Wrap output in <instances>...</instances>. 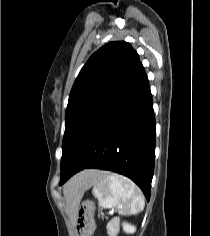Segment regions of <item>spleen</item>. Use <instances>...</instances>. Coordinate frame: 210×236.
I'll return each mask as SVG.
<instances>
[{"label":"spleen","instance_id":"spleen-1","mask_svg":"<svg viewBox=\"0 0 210 236\" xmlns=\"http://www.w3.org/2000/svg\"><path fill=\"white\" fill-rule=\"evenodd\" d=\"M93 186V195L104 208L114 207L120 215H135L144 209L141 191L124 176L104 172Z\"/></svg>","mask_w":210,"mask_h":236}]
</instances>
